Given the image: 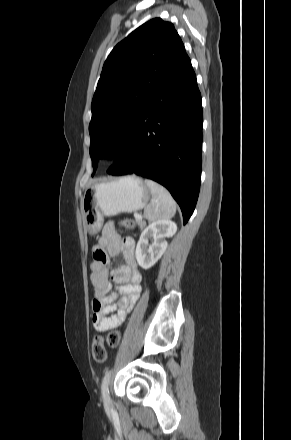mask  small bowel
Listing matches in <instances>:
<instances>
[{"instance_id":"obj_1","label":"small bowel","mask_w":291,"mask_h":440,"mask_svg":"<svg viewBox=\"0 0 291 440\" xmlns=\"http://www.w3.org/2000/svg\"><path fill=\"white\" fill-rule=\"evenodd\" d=\"M122 254L124 263L113 270L106 266L109 256ZM90 281L94 290L92 322L99 332L120 326L137 302L141 291V274L135 261V240L120 238L112 224L104 227L98 244L92 250ZM111 278L119 286L113 288ZM118 299V302L115 301Z\"/></svg>"}]
</instances>
